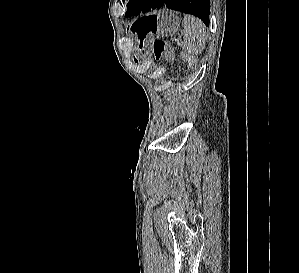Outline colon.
<instances>
[{
  "mask_svg": "<svg viewBox=\"0 0 299 273\" xmlns=\"http://www.w3.org/2000/svg\"><path fill=\"white\" fill-rule=\"evenodd\" d=\"M154 50L157 59H171L173 56L172 50L163 40H158L155 42Z\"/></svg>",
  "mask_w": 299,
  "mask_h": 273,
  "instance_id": "5ec220e1",
  "label": "colon"
}]
</instances>
